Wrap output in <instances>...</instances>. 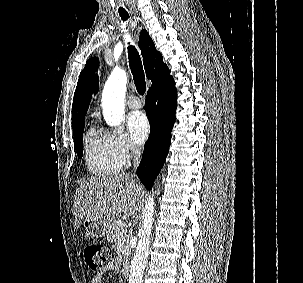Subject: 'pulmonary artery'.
Here are the masks:
<instances>
[{"instance_id": "1", "label": "pulmonary artery", "mask_w": 303, "mask_h": 283, "mask_svg": "<svg viewBox=\"0 0 303 283\" xmlns=\"http://www.w3.org/2000/svg\"><path fill=\"white\" fill-rule=\"evenodd\" d=\"M127 104L129 106V108H131V109H139L142 107L141 100L137 96H134V95L128 99Z\"/></svg>"}]
</instances>
